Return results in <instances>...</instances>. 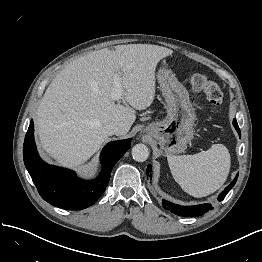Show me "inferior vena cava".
Here are the masks:
<instances>
[{"mask_svg":"<svg viewBox=\"0 0 262 262\" xmlns=\"http://www.w3.org/2000/svg\"><path fill=\"white\" fill-rule=\"evenodd\" d=\"M105 130L109 135H119L123 132V127L117 123H110L106 125Z\"/></svg>","mask_w":262,"mask_h":262,"instance_id":"1","label":"inferior vena cava"}]
</instances>
